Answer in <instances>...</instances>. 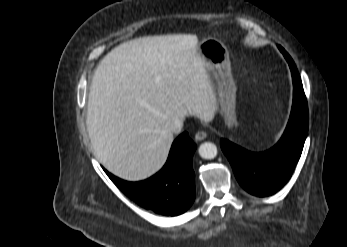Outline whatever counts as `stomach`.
Returning a JSON list of instances; mask_svg holds the SVG:
<instances>
[{"label": "stomach", "mask_w": 347, "mask_h": 247, "mask_svg": "<svg viewBox=\"0 0 347 247\" xmlns=\"http://www.w3.org/2000/svg\"><path fill=\"white\" fill-rule=\"evenodd\" d=\"M197 53L206 62L217 83L219 105L228 128L236 127L237 87L232 75L229 52L226 46L215 38L204 39L197 46Z\"/></svg>", "instance_id": "obj_1"}]
</instances>
